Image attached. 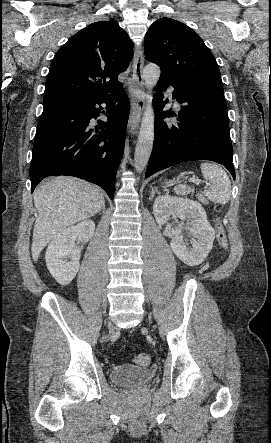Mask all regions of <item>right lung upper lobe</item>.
Wrapping results in <instances>:
<instances>
[{
  "label": "right lung upper lobe",
  "mask_w": 271,
  "mask_h": 443,
  "mask_svg": "<svg viewBox=\"0 0 271 443\" xmlns=\"http://www.w3.org/2000/svg\"><path fill=\"white\" fill-rule=\"evenodd\" d=\"M133 43L117 21H98L72 36L55 54L44 105L105 98L119 92L117 79L133 55ZM108 80V82H106Z\"/></svg>",
  "instance_id": "obj_1"
}]
</instances>
